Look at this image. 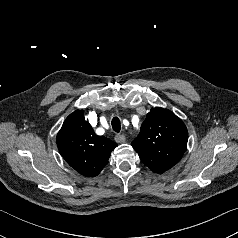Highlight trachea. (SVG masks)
Returning a JSON list of instances; mask_svg holds the SVG:
<instances>
[{
  "label": "trachea",
  "mask_w": 238,
  "mask_h": 238,
  "mask_svg": "<svg viewBox=\"0 0 238 238\" xmlns=\"http://www.w3.org/2000/svg\"><path fill=\"white\" fill-rule=\"evenodd\" d=\"M112 128L115 132L119 133L121 130V123L118 117H114L111 121Z\"/></svg>",
  "instance_id": "trachea-1"
}]
</instances>
